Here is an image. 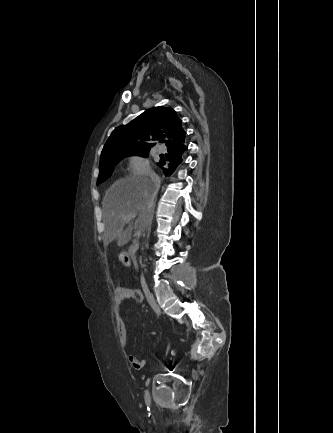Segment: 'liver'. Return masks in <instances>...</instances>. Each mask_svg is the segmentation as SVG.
I'll use <instances>...</instances> for the list:
<instances>
[{"label":"liver","instance_id":"obj_1","mask_svg":"<svg viewBox=\"0 0 333 433\" xmlns=\"http://www.w3.org/2000/svg\"><path fill=\"white\" fill-rule=\"evenodd\" d=\"M152 194L153 183L146 177H126L110 186L102 201L105 245L116 240L118 246H124L131 240L133 229L145 230L154 209ZM129 213L138 215L135 224L125 221Z\"/></svg>","mask_w":333,"mask_h":433}]
</instances>
